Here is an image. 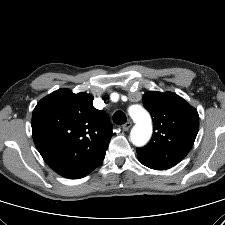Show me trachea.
Masks as SVG:
<instances>
[{
  "instance_id": "obj_1",
  "label": "trachea",
  "mask_w": 225,
  "mask_h": 225,
  "mask_svg": "<svg viewBox=\"0 0 225 225\" xmlns=\"http://www.w3.org/2000/svg\"><path fill=\"white\" fill-rule=\"evenodd\" d=\"M126 121H127V118H126V115L124 114V112L116 111L113 114V122L115 124L121 125V124L126 123Z\"/></svg>"
}]
</instances>
